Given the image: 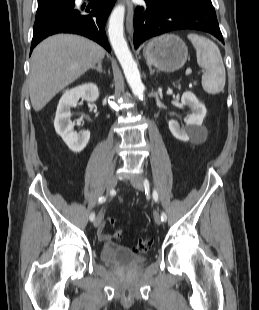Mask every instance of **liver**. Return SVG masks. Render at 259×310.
<instances>
[{"label": "liver", "mask_w": 259, "mask_h": 310, "mask_svg": "<svg viewBox=\"0 0 259 310\" xmlns=\"http://www.w3.org/2000/svg\"><path fill=\"white\" fill-rule=\"evenodd\" d=\"M97 43L72 34H58L33 51L29 76L32 107L40 111L62 89L105 57Z\"/></svg>", "instance_id": "1"}]
</instances>
